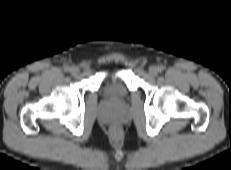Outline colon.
<instances>
[{
	"mask_svg": "<svg viewBox=\"0 0 231 170\" xmlns=\"http://www.w3.org/2000/svg\"><path fill=\"white\" fill-rule=\"evenodd\" d=\"M110 134L114 137V138H118L121 134V131L118 127H112L110 130Z\"/></svg>",
	"mask_w": 231,
	"mask_h": 170,
	"instance_id": "colon-1",
	"label": "colon"
}]
</instances>
